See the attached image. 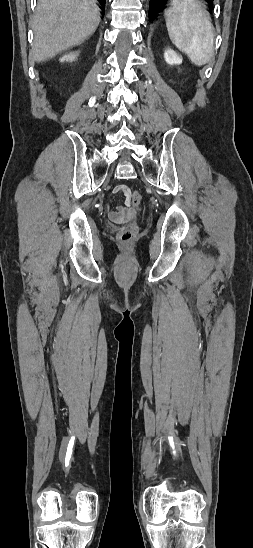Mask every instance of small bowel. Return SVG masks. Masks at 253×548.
Returning <instances> with one entry per match:
<instances>
[{
    "mask_svg": "<svg viewBox=\"0 0 253 548\" xmlns=\"http://www.w3.org/2000/svg\"><path fill=\"white\" fill-rule=\"evenodd\" d=\"M115 193H120L125 197V202L123 206L118 207L114 211L108 212L109 219L114 223H123L131 219L134 215L130 207V191L129 188L125 185H118L114 189Z\"/></svg>",
    "mask_w": 253,
    "mask_h": 548,
    "instance_id": "small-bowel-1",
    "label": "small bowel"
}]
</instances>
